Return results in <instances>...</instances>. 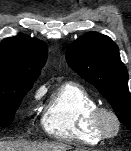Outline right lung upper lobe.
Segmentation results:
<instances>
[{"label": "right lung upper lobe", "instance_id": "cb5924a9", "mask_svg": "<svg viewBox=\"0 0 131 151\" xmlns=\"http://www.w3.org/2000/svg\"><path fill=\"white\" fill-rule=\"evenodd\" d=\"M47 45L18 34L0 43V83L32 85L47 59Z\"/></svg>", "mask_w": 131, "mask_h": 151}]
</instances>
